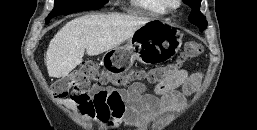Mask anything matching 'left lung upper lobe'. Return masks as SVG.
<instances>
[{
    "instance_id": "left-lung-upper-lobe-1",
    "label": "left lung upper lobe",
    "mask_w": 257,
    "mask_h": 130,
    "mask_svg": "<svg viewBox=\"0 0 257 130\" xmlns=\"http://www.w3.org/2000/svg\"><path fill=\"white\" fill-rule=\"evenodd\" d=\"M184 1L192 8V12L189 16V21L192 24L198 26L200 31L202 32L207 26V21L199 10L201 0H184Z\"/></svg>"
}]
</instances>
